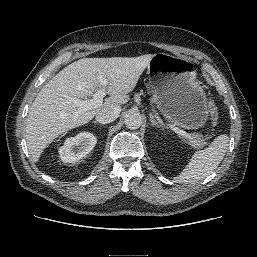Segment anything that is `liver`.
Wrapping results in <instances>:
<instances>
[{
  "mask_svg": "<svg viewBox=\"0 0 257 257\" xmlns=\"http://www.w3.org/2000/svg\"><path fill=\"white\" fill-rule=\"evenodd\" d=\"M152 57L146 54L131 58H83L56 74L40 90L28 114L26 141L32 160L37 162L55 138L88 123L97 111L126 104L130 99L128 93L133 91ZM99 75L108 80L106 92L110 97L98 108L79 112L70 99L93 96L101 86Z\"/></svg>",
  "mask_w": 257,
  "mask_h": 257,
  "instance_id": "obj_1",
  "label": "liver"
}]
</instances>
